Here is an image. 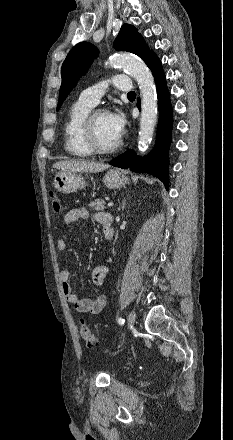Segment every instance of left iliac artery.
Returning <instances> with one entry per match:
<instances>
[{
	"mask_svg": "<svg viewBox=\"0 0 233 440\" xmlns=\"http://www.w3.org/2000/svg\"><path fill=\"white\" fill-rule=\"evenodd\" d=\"M124 322H125V320H124L123 318H118V323H119L120 325H123Z\"/></svg>",
	"mask_w": 233,
	"mask_h": 440,
	"instance_id": "obj_1",
	"label": "left iliac artery"
}]
</instances>
